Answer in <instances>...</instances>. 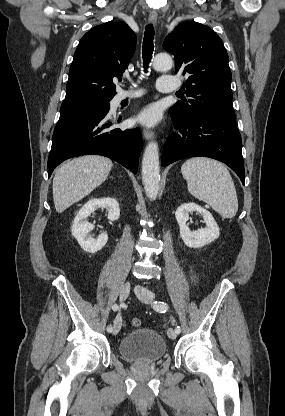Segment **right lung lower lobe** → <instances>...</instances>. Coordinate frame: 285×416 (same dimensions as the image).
Masks as SVG:
<instances>
[{"mask_svg":"<svg viewBox=\"0 0 285 416\" xmlns=\"http://www.w3.org/2000/svg\"><path fill=\"white\" fill-rule=\"evenodd\" d=\"M113 122L108 119V112L60 117L52 137L48 177L64 160L87 154L109 157L136 174L142 149L140 131H122L113 128Z\"/></svg>","mask_w":285,"mask_h":416,"instance_id":"1","label":"right lung lower lobe"}]
</instances>
